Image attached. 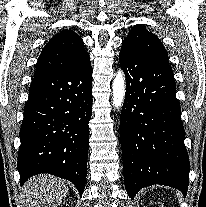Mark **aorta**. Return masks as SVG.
Segmentation results:
<instances>
[{"label": "aorta", "mask_w": 206, "mask_h": 207, "mask_svg": "<svg viewBox=\"0 0 206 207\" xmlns=\"http://www.w3.org/2000/svg\"><path fill=\"white\" fill-rule=\"evenodd\" d=\"M112 103L116 109L121 108L125 97V75L119 71L112 84Z\"/></svg>", "instance_id": "aorta-1"}]
</instances>
